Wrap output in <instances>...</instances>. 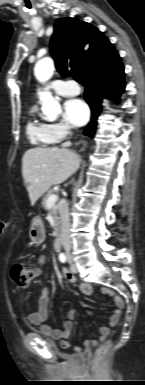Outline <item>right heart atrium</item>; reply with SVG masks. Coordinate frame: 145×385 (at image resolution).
I'll return each mask as SVG.
<instances>
[{"label":"right heart atrium","mask_w":145,"mask_h":385,"mask_svg":"<svg viewBox=\"0 0 145 385\" xmlns=\"http://www.w3.org/2000/svg\"><path fill=\"white\" fill-rule=\"evenodd\" d=\"M54 143L61 141L70 133V126L63 121L49 124Z\"/></svg>","instance_id":"d8ad5b80"}]
</instances>
